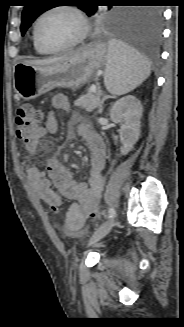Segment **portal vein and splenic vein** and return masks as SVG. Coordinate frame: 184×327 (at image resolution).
I'll list each match as a JSON object with an SVG mask.
<instances>
[{"label":"portal vein and splenic vein","instance_id":"18ae733b","mask_svg":"<svg viewBox=\"0 0 184 327\" xmlns=\"http://www.w3.org/2000/svg\"><path fill=\"white\" fill-rule=\"evenodd\" d=\"M90 90L93 91V92H96V91H97V87H96V86H92V87L90 88Z\"/></svg>","mask_w":184,"mask_h":327}]
</instances>
